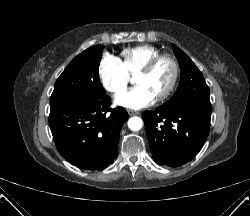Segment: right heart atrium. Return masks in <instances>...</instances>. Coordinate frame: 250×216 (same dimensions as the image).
<instances>
[{
    "instance_id": "right-heart-atrium-1",
    "label": "right heart atrium",
    "mask_w": 250,
    "mask_h": 216,
    "mask_svg": "<svg viewBox=\"0 0 250 216\" xmlns=\"http://www.w3.org/2000/svg\"><path fill=\"white\" fill-rule=\"evenodd\" d=\"M99 76L103 87L113 93L124 91L130 81V74L122 62L114 56H104L99 65Z\"/></svg>"
}]
</instances>
